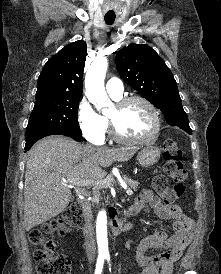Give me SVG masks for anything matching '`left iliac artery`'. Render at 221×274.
I'll list each match as a JSON object with an SVG mask.
<instances>
[{"label":"left iliac artery","mask_w":221,"mask_h":274,"mask_svg":"<svg viewBox=\"0 0 221 274\" xmlns=\"http://www.w3.org/2000/svg\"><path fill=\"white\" fill-rule=\"evenodd\" d=\"M106 259H107L108 261H110V257H109V255H107V256H106Z\"/></svg>","instance_id":"1"}]
</instances>
